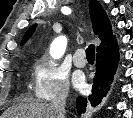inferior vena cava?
Returning a JSON list of instances; mask_svg holds the SVG:
<instances>
[{
    "label": "inferior vena cava",
    "instance_id": "602c4592",
    "mask_svg": "<svg viewBox=\"0 0 133 118\" xmlns=\"http://www.w3.org/2000/svg\"><path fill=\"white\" fill-rule=\"evenodd\" d=\"M67 92L62 91L51 103V109L55 118H65V106Z\"/></svg>",
    "mask_w": 133,
    "mask_h": 118
}]
</instances>
